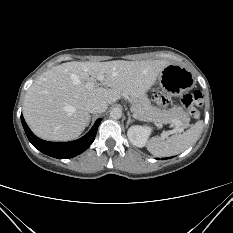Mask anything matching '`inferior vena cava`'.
Listing matches in <instances>:
<instances>
[{"label":"inferior vena cava","instance_id":"obj_1","mask_svg":"<svg viewBox=\"0 0 233 233\" xmlns=\"http://www.w3.org/2000/svg\"><path fill=\"white\" fill-rule=\"evenodd\" d=\"M86 110L89 113H103L107 110L106 102L98 99H88L85 104Z\"/></svg>","mask_w":233,"mask_h":233}]
</instances>
